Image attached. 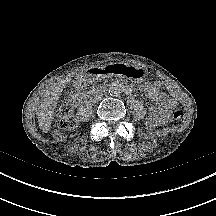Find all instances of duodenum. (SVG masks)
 Segmentation results:
<instances>
[{
  "label": "duodenum",
  "mask_w": 216,
  "mask_h": 216,
  "mask_svg": "<svg viewBox=\"0 0 216 216\" xmlns=\"http://www.w3.org/2000/svg\"><path fill=\"white\" fill-rule=\"evenodd\" d=\"M106 73H107V69H104V68H97V69L89 70V75L91 76H102ZM105 89H106L105 87H100L93 91L75 93L71 98V104L72 106H76L97 95H102ZM124 90L130 91L131 88L128 86H125Z\"/></svg>",
  "instance_id": "1"
}]
</instances>
